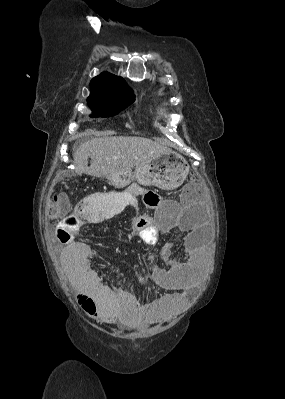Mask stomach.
<instances>
[{"label":"stomach","mask_w":285,"mask_h":399,"mask_svg":"<svg viewBox=\"0 0 285 399\" xmlns=\"http://www.w3.org/2000/svg\"><path fill=\"white\" fill-rule=\"evenodd\" d=\"M188 172L186 160L180 154L169 150L135 167L134 173L129 171L107 179L115 188H123L135 179L143 186L154 185L161 189L173 190L183 183Z\"/></svg>","instance_id":"stomach-1"}]
</instances>
